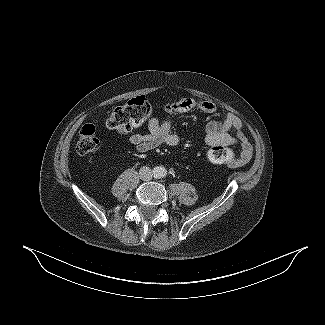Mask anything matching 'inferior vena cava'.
<instances>
[{"instance_id": "obj_1", "label": "inferior vena cava", "mask_w": 325, "mask_h": 325, "mask_svg": "<svg viewBox=\"0 0 325 325\" xmlns=\"http://www.w3.org/2000/svg\"><path fill=\"white\" fill-rule=\"evenodd\" d=\"M139 175L143 181H150L152 179L153 172L149 167L144 166L140 169Z\"/></svg>"}]
</instances>
